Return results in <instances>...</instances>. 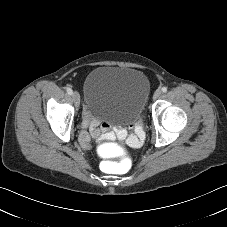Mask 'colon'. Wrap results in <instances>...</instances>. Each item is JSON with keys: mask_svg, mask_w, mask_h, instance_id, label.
Here are the masks:
<instances>
[{"mask_svg": "<svg viewBox=\"0 0 227 227\" xmlns=\"http://www.w3.org/2000/svg\"><path fill=\"white\" fill-rule=\"evenodd\" d=\"M100 153L104 154V158L118 164V171L121 174L128 172L130 164L126 155V150L119 144L110 139H103L98 145Z\"/></svg>", "mask_w": 227, "mask_h": 227, "instance_id": "1", "label": "colon"}]
</instances>
